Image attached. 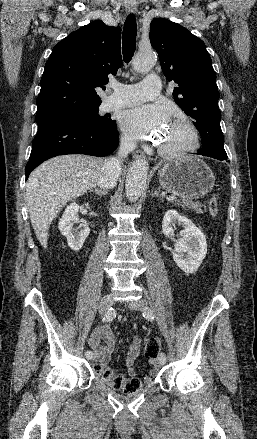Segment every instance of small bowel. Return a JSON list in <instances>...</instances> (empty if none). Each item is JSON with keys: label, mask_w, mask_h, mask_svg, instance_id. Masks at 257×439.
Here are the masks:
<instances>
[{"label": "small bowel", "mask_w": 257, "mask_h": 439, "mask_svg": "<svg viewBox=\"0 0 257 439\" xmlns=\"http://www.w3.org/2000/svg\"><path fill=\"white\" fill-rule=\"evenodd\" d=\"M87 343L94 353L95 362L105 367L111 360V356L117 344V339L110 326L108 324H104L96 327L91 332ZM140 349L141 339L140 337L136 336L133 338L127 349V356L125 359L127 374L131 378H135L136 376V364L139 359ZM151 364H153L154 367L150 370L149 374L144 376L142 379V382L145 384H150L158 374L155 359L151 360Z\"/></svg>", "instance_id": "obj_1"}]
</instances>
